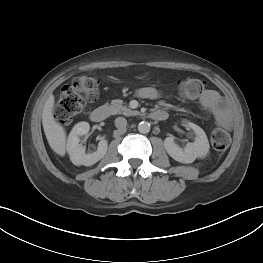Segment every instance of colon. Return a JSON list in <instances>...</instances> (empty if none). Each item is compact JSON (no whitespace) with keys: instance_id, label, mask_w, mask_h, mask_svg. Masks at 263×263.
<instances>
[{"instance_id":"1","label":"colon","mask_w":263,"mask_h":263,"mask_svg":"<svg viewBox=\"0 0 263 263\" xmlns=\"http://www.w3.org/2000/svg\"><path fill=\"white\" fill-rule=\"evenodd\" d=\"M178 89L184 98H197L204 93V82L198 78L188 77L181 80ZM99 81L94 75L75 78L70 84L62 88L60 97L55 106V117L66 123L76 117L87 103L98 98ZM229 133L221 128L215 129L211 134V144L217 151H224L230 145Z\"/></svg>"}]
</instances>
